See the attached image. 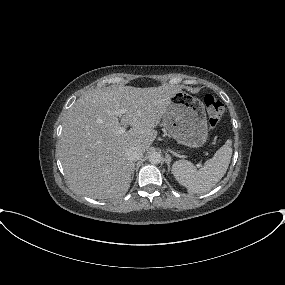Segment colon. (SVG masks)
Returning <instances> with one entry per match:
<instances>
[{
	"label": "colon",
	"instance_id": "obj_1",
	"mask_svg": "<svg viewBox=\"0 0 285 285\" xmlns=\"http://www.w3.org/2000/svg\"><path fill=\"white\" fill-rule=\"evenodd\" d=\"M203 103L207 112L208 126L213 130L217 128L221 122L224 111L223 105L216 97L209 93L204 95Z\"/></svg>",
	"mask_w": 285,
	"mask_h": 285
}]
</instances>
